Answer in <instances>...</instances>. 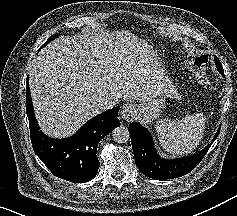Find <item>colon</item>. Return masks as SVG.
<instances>
[{
    "label": "colon",
    "mask_w": 237,
    "mask_h": 216,
    "mask_svg": "<svg viewBox=\"0 0 237 216\" xmlns=\"http://www.w3.org/2000/svg\"><path fill=\"white\" fill-rule=\"evenodd\" d=\"M186 66L199 73L203 78H207L208 74V58L204 55L192 58L186 62Z\"/></svg>",
    "instance_id": "1"
}]
</instances>
